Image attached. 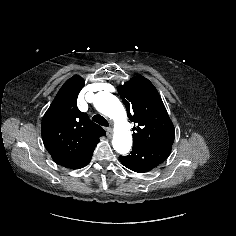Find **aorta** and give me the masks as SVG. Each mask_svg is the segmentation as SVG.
I'll return each mask as SVG.
<instances>
[{"label":"aorta","instance_id":"1","mask_svg":"<svg viewBox=\"0 0 236 236\" xmlns=\"http://www.w3.org/2000/svg\"><path fill=\"white\" fill-rule=\"evenodd\" d=\"M94 106L100 113L111 118L115 123V132L112 140L113 148L119 154H127L132 147V135L127 114L119 99L106 92L95 96Z\"/></svg>","mask_w":236,"mask_h":236}]
</instances>
